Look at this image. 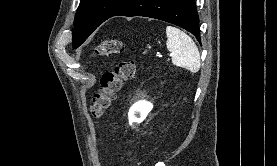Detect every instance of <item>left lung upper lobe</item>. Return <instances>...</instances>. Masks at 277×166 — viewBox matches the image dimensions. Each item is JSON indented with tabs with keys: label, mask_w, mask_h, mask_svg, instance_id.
<instances>
[{
	"label": "left lung upper lobe",
	"mask_w": 277,
	"mask_h": 166,
	"mask_svg": "<svg viewBox=\"0 0 277 166\" xmlns=\"http://www.w3.org/2000/svg\"><path fill=\"white\" fill-rule=\"evenodd\" d=\"M133 0H81L72 29L73 48L79 47L105 20Z\"/></svg>",
	"instance_id": "5c2ea615"
}]
</instances>
